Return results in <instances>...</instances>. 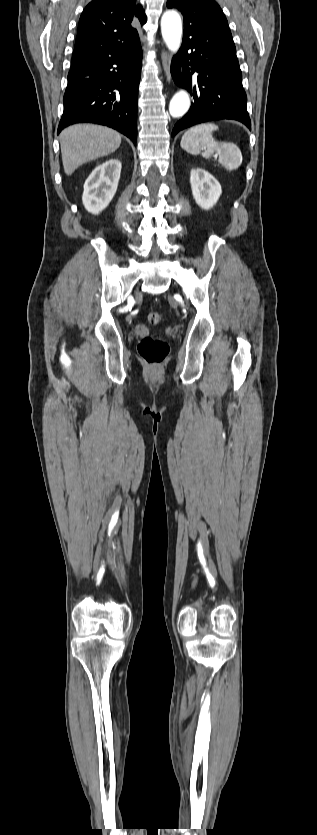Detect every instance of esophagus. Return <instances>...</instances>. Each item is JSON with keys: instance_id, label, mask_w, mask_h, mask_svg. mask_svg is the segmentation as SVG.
Returning <instances> with one entry per match:
<instances>
[{"instance_id": "34e87169", "label": "esophagus", "mask_w": 317, "mask_h": 835, "mask_svg": "<svg viewBox=\"0 0 317 835\" xmlns=\"http://www.w3.org/2000/svg\"><path fill=\"white\" fill-rule=\"evenodd\" d=\"M162 66L165 72V76L168 82L171 80V73H170V57L167 52L162 53Z\"/></svg>"}]
</instances>
